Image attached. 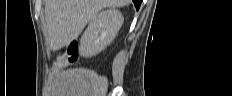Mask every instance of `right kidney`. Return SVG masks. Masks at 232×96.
<instances>
[{
    "mask_svg": "<svg viewBox=\"0 0 232 96\" xmlns=\"http://www.w3.org/2000/svg\"><path fill=\"white\" fill-rule=\"evenodd\" d=\"M121 12L115 8L102 11L90 20L80 40V55L95 56L109 45L123 24Z\"/></svg>",
    "mask_w": 232,
    "mask_h": 96,
    "instance_id": "obj_1",
    "label": "right kidney"
}]
</instances>
